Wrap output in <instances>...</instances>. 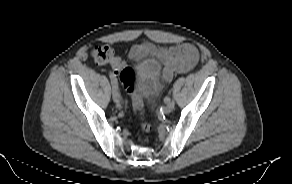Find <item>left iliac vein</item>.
<instances>
[{
	"label": "left iliac vein",
	"mask_w": 292,
	"mask_h": 184,
	"mask_svg": "<svg viewBox=\"0 0 292 184\" xmlns=\"http://www.w3.org/2000/svg\"><path fill=\"white\" fill-rule=\"evenodd\" d=\"M174 106H175L174 102L172 100H170L168 103H166V106L164 108V112L166 114L171 113L174 109Z\"/></svg>",
	"instance_id": "left-iliac-vein-1"
}]
</instances>
